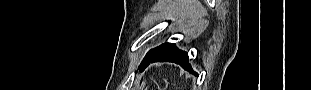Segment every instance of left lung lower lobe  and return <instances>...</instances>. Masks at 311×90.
I'll return each mask as SVG.
<instances>
[{"mask_svg":"<svg viewBox=\"0 0 311 90\" xmlns=\"http://www.w3.org/2000/svg\"><path fill=\"white\" fill-rule=\"evenodd\" d=\"M174 62L180 64L184 69L191 70L186 52L176 48L175 44L164 43L156 47L149 57L140 65V70L143 71L151 62Z\"/></svg>","mask_w":311,"mask_h":90,"instance_id":"1","label":"left lung lower lobe"}]
</instances>
